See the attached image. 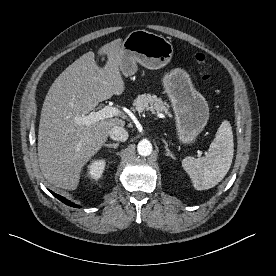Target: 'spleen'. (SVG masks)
Listing matches in <instances>:
<instances>
[{
    "label": "spleen",
    "instance_id": "spleen-1",
    "mask_svg": "<svg viewBox=\"0 0 276 276\" xmlns=\"http://www.w3.org/2000/svg\"><path fill=\"white\" fill-rule=\"evenodd\" d=\"M234 155L233 132L229 121L221 123L205 157H185L184 170L197 190L216 186L227 174Z\"/></svg>",
    "mask_w": 276,
    "mask_h": 276
}]
</instances>
